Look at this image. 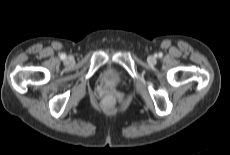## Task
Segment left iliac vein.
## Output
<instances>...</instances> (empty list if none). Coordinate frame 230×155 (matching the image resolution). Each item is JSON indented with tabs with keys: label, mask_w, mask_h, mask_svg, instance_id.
<instances>
[{
	"label": "left iliac vein",
	"mask_w": 230,
	"mask_h": 155,
	"mask_svg": "<svg viewBox=\"0 0 230 155\" xmlns=\"http://www.w3.org/2000/svg\"><path fill=\"white\" fill-rule=\"evenodd\" d=\"M148 62H149V63H152V64L155 63V62H156L155 56H152V55L149 56V57H148Z\"/></svg>",
	"instance_id": "1"
}]
</instances>
